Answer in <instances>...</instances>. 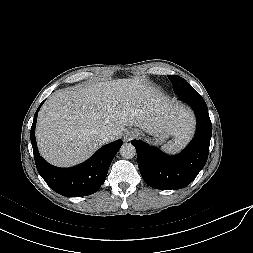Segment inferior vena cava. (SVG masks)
Segmentation results:
<instances>
[{"instance_id": "inferior-vena-cava-1", "label": "inferior vena cava", "mask_w": 253, "mask_h": 253, "mask_svg": "<svg viewBox=\"0 0 253 253\" xmlns=\"http://www.w3.org/2000/svg\"><path fill=\"white\" fill-rule=\"evenodd\" d=\"M98 137L100 139V141L105 144L110 142V140L112 139V133L109 130H104L98 133Z\"/></svg>"}]
</instances>
